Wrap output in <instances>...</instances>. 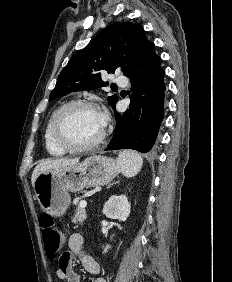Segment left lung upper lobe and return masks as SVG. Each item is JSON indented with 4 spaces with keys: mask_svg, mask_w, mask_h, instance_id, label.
Returning <instances> with one entry per match:
<instances>
[{
    "mask_svg": "<svg viewBox=\"0 0 232 282\" xmlns=\"http://www.w3.org/2000/svg\"><path fill=\"white\" fill-rule=\"evenodd\" d=\"M147 40L142 26L129 22L112 24L103 29L83 50L79 51L58 76L49 100L65 96L71 92L97 89L107 86L101 78L103 72L114 73L121 67L126 76L140 61ZM114 106L117 97H108Z\"/></svg>",
    "mask_w": 232,
    "mask_h": 282,
    "instance_id": "obj_1",
    "label": "left lung upper lobe"
}]
</instances>
